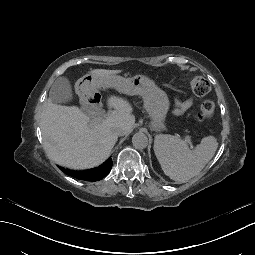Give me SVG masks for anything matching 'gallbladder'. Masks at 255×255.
Returning a JSON list of instances; mask_svg holds the SVG:
<instances>
[{
	"label": "gallbladder",
	"instance_id": "1",
	"mask_svg": "<svg viewBox=\"0 0 255 255\" xmlns=\"http://www.w3.org/2000/svg\"><path fill=\"white\" fill-rule=\"evenodd\" d=\"M49 98L58 104H70L73 100V88L70 80L67 77L61 76L55 80L50 91ZM90 105L81 104L80 111L84 114H88Z\"/></svg>",
	"mask_w": 255,
	"mask_h": 255
}]
</instances>
